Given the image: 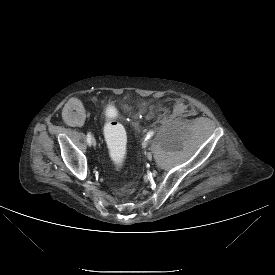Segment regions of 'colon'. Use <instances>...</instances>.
I'll return each mask as SVG.
<instances>
[{"label": "colon", "mask_w": 275, "mask_h": 275, "mask_svg": "<svg viewBox=\"0 0 275 275\" xmlns=\"http://www.w3.org/2000/svg\"><path fill=\"white\" fill-rule=\"evenodd\" d=\"M105 136L110 156L119 167L126 149V136L123 128L115 121H107L105 124Z\"/></svg>", "instance_id": "obj_1"}]
</instances>
